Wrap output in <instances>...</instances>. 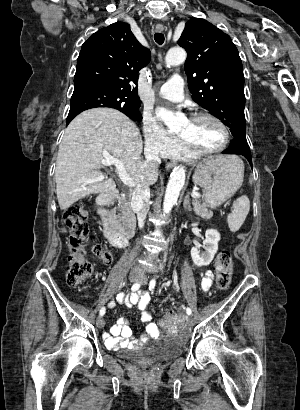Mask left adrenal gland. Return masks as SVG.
Instances as JSON below:
<instances>
[{
	"label": "left adrenal gland",
	"mask_w": 300,
	"mask_h": 410,
	"mask_svg": "<svg viewBox=\"0 0 300 410\" xmlns=\"http://www.w3.org/2000/svg\"><path fill=\"white\" fill-rule=\"evenodd\" d=\"M183 207L187 209L188 211H192L191 203H190V194H186L184 201H183Z\"/></svg>",
	"instance_id": "left-adrenal-gland-1"
}]
</instances>
